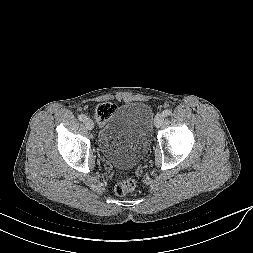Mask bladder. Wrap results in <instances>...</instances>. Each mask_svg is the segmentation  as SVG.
<instances>
[{
	"label": "bladder",
	"instance_id": "obj_1",
	"mask_svg": "<svg viewBox=\"0 0 253 253\" xmlns=\"http://www.w3.org/2000/svg\"><path fill=\"white\" fill-rule=\"evenodd\" d=\"M154 113L144 102L120 105L100 128L99 150L107 163L118 168L138 165L150 146Z\"/></svg>",
	"mask_w": 253,
	"mask_h": 253
}]
</instances>
